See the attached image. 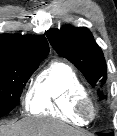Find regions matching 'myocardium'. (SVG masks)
Returning <instances> with one entry per match:
<instances>
[{
  "mask_svg": "<svg viewBox=\"0 0 117 136\" xmlns=\"http://www.w3.org/2000/svg\"><path fill=\"white\" fill-rule=\"evenodd\" d=\"M75 112L78 116L87 121H92L97 116V108L93 100L87 96L76 106Z\"/></svg>",
  "mask_w": 117,
  "mask_h": 136,
  "instance_id": "myocardium-1",
  "label": "myocardium"
}]
</instances>
